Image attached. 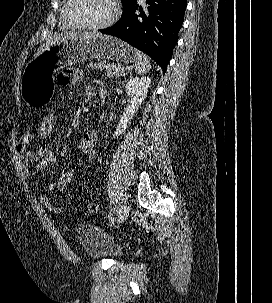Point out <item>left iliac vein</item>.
<instances>
[{"mask_svg": "<svg viewBox=\"0 0 272 303\" xmlns=\"http://www.w3.org/2000/svg\"><path fill=\"white\" fill-rule=\"evenodd\" d=\"M129 212H130V206L128 204H125L122 207L121 212L118 216V222L119 223L124 222L127 219L128 215H129Z\"/></svg>", "mask_w": 272, "mask_h": 303, "instance_id": "1", "label": "left iliac vein"}]
</instances>
